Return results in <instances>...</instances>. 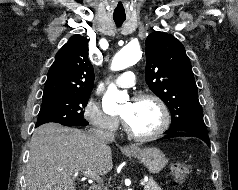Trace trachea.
Wrapping results in <instances>:
<instances>
[{"label":"trachea","mask_w":238,"mask_h":190,"mask_svg":"<svg viewBox=\"0 0 238 190\" xmlns=\"http://www.w3.org/2000/svg\"><path fill=\"white\" fill-rule=\"evenodd\" d=\"M124 21H125L124 18H114V22H115L117 27H120L123 24Z\"/></svg>","instance_id":"obj_1"}]
</instances>
